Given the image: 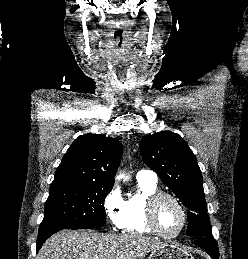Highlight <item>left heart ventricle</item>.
Wrapping results in <instances>:
<instances>
[{
    "instance_id": "b2bd125f",
    "label": "left heart ventricle",
    "mask_w": 248,
    "mask_h": 259,
    "mask_svg": "<svg viewBox=\"0 0 248 259\" xmlns=\"http://www.w3.org/2000/svg\"><path fill=\"white\" fill-rule=\"evenodd\" d=\"M157 222L167 234L177 232L182 223V214L178 206L169 198L162 199L157 207Z\"/></svg>"
}]
</instances>
